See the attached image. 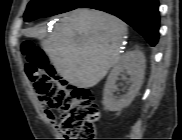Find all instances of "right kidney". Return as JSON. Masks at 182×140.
Instances as JSON below:
<instances>
[{
    "label": "right kidney",
    "mask_w": 182,
    "mask_h": 140,
    "mask_svg": "<svg viewBox=\"0 0 182 140\" xmlns=\"http://www.w3.org/2000/svg\"><path fill=\"white\" fill-rule=\"evenodd\" d=\"M129 76V88L125 95L117 98L114 92L117 90L116 81L118 76L122 73ZM145 74V57L139 51H129L124 54L119 62L111 70L103 93V105L109 111H121L124 107L128 106L136 94L138 93L144 79ZM123 80L126 76H123Z\"/></svg>",
    "instance_id": "ca27d5eb"
}]
</instances>
